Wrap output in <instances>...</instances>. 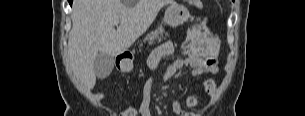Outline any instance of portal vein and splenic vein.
<instances>
[{"instance_id": "portal-vein-and-splenic-vein-1", "label": "portal vein and splenic vein", "mask_w": 305, "mask_h": 116, "mask_svg": "<svg viewBox=\"0 0 305 116\" xmlns=\"http://www.w3.org/2000/svg\"><path fill=\"white\" fill-rule=\"evenodd\" d=\"M120 22L119 21H115L114 22V25H118Z\"/></svg>"}]
</instances>
